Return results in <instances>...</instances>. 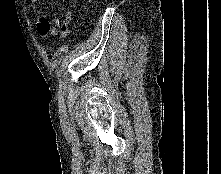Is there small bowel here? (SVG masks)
<instances>
[{"mask_svg": "<svg viewBox=\"0 0 221 174\" xmlns=\"http://www.w3.org/2000/svg\"><path fill=\"white\" fill-rule=\"evenodd\" d=\"M38 2L39 0H30L29 7L31 9H36ZM71 19H72L71 13L66 12L63 20H60L58 18L54 19L53 21L55 24L54 25L47 18L39 16L37 23L38 32L43 37L47 35L56 36L58 34V28H59L62 36L65 37L68 34L69 24Z\"/></svg>", "mask_w": 221, "mask_h": 174, "instance_id": "obj_1", "label": "small bowel"}]
</instances>
